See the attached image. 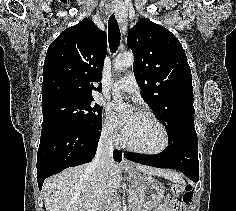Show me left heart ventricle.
Returning a JSON list of instances; mask_svg holds the SVG:
<instances>
[{"instance_id":"b2bd125f","label":"left heart ventricle","mask_w":236,"mask_h":211,"mask_svg":"<svg viewBox=\"0 0 236 211\" xmlns=\"http://www.w3.org/2000/svg\"><path fill=\"white\" fill-rule=\"evenodd\" d=\"M124 133L129 144L143 150H157L163 142V135L158 125L140 114L135 116Z\"/></svg>"}]
</instances>
